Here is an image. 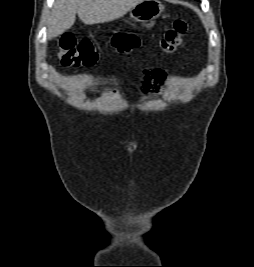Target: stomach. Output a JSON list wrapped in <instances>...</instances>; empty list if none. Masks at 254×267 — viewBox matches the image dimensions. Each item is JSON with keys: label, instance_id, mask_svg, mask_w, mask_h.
<instances>
[{"label": "stomach", "instance_id": "obj_1", "mask_svg": "<svg viewBox=\"0 0 254 267\" xmlns=\"http://www.w3.org/2000/svg\"><path fill=\"white\" fill-rule=\"evenodd\" d=\"M164 10L158 0H143L130 10V17L137 22L147 23L157 19Z\"/></svg>", "mask_w": 254, "mask_h": 267}]
</instances>
